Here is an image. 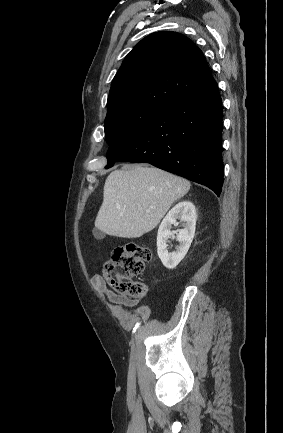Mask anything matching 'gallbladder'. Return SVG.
<instances>
[{
  "label": "gallbladder",
  "mask_w": 283,
  "mask_h": 433,
  "mask_svg": "<svg viewBox=\"0 0 283 433\" xmlns=\"http://www.w3.org/2000/svg\"><path fill=\"white\" fill-rule=\"evenodd\" d=\"M93 235L95 239H104L105 233H102V231H99V229H93Z\"/></svg>",
  "instance_id": "gallbladder-1"
}]
</instances>
